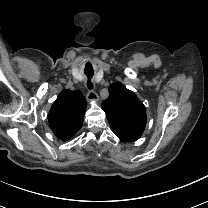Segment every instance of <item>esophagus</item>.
I'll return each instance as SVG.
<instances>
[{
  "mask_svg": "<svg viewBox=\"0 0 208 208\" xmlns=\"http://www.w3.org/2000/svg\"><path fill=\"white\" fill-rule=\"evenodd\" d=\"M87 100L90 102H96L99 100V96L95 91L89 90L87 93Z\"/></svg>",
  "mask_w": 208,
  "mask_h": 208,
  "instance_id": "1",
  "label": "esophagus"
}]
</instances>
